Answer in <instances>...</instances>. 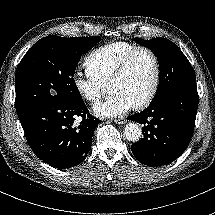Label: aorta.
<instances>
[{"mask_svg":"<svg viewBox=\"0 0 215 215\" xmlns=\"http://www.w3.org/2000/svg\"><path fill=\"white\" fill-rule=\"evenodd\" d=\"M124 135L128 141L137 142L142 136V129L136 123H128L124 130Z\"/></svg>","mask_w":215,"mask_h":215,"instance_id":"aorta-1","label":"aorta"}]
</instances>
